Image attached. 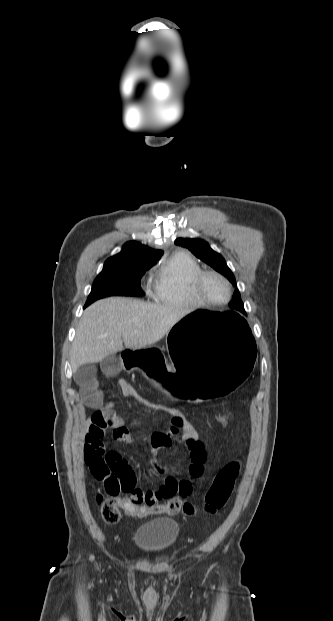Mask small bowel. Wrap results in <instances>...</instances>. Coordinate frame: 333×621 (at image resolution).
Here are the masks:
<instances>
[{
	"instance_id": "1",
	"label": "small bowel",
	"mask_w": 333,
	"mask_h": 621,
	"mask_svg": "<svg viewBox=\"0 0 333 621\" xmlns=\"http://www.w3.org/2000/svg\"><path fill=\"white\" fill-rule=\"evenodd\" d=\"M117 362L114 358H107L102 368L105 372L116 370ZM120 391L136 401L140 402L138 392L125 380L118 382ZM81 399L94 413L87 419L85 424V440L83 444V457L91 472L101 462H107L116 468H123L127 462L116 450H107L104 436L111 432L112 438L119 442L129 444L133 438L129 429L124 425L120 417L109 407L104 405L101 392L93 381H83L80 389ZM142 403V402H141ZM166 414L171 420V427L167 430H157L149 437L150 446L157 452L168 448L172 439L181 434L180 446L186 454L188 461L185 466V476L177 479L172 475L176 468L172 465L153 462L154 474L165 476L164 481L154 490H145L135 487L128 492L124 500L132 507L138 508L153 503H159L164 499L174 497L186 498L192 494L194 481L201 477L204 472L206 461L205 444L202 435L195 426L177 409H157Z\"/></svg>"
}]
</instances>
